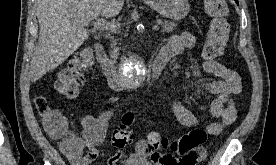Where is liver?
Masks as SVG:
<instances>
[{"instance_id":"obj_1","label":"liver","mask_w":276,"mask_h":165,"mask_svg":"<svg viewBox=\"0 0 276 165\" xmlns=\"http://www.w3.org/2000/svg\"><path fill=\"white\" fill-rule=\"evenodd\" d=\"M124 0H37L39 43L31 61L32 81L61 65L87 39L97 16H117Z\"/></svg>"}]
</instances>
